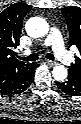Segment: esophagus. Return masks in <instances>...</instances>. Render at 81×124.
<instances>
[{
    "mask_svg": "<svg viewBox=\"0 0 81 124\" xmlns=\"http://www.w3.org/2000/svg\"><path fill=\"white\" fill-rule=\"evenodd\" d=\"M46 63L49 64V65H51V66L56 65V62L51 61V60H46Z\"/></svg>",
    "mask_w": 81,
    "mask_h": 124,
    "instance_id": "34e87169",
    "label": "esophagus"
}]
</instances>
